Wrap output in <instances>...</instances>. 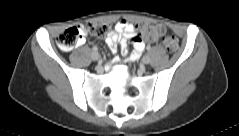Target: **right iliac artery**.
<instances>
[{
  "label": "right iliac artery",
  "mask_w": 239,
  "mask_h": 136,
  "mask_svg": "<svg viewBox=\"0 0 239 136\" xmlns=\"http://www.w3.org/2000/svg\"><path fill=\"white\" fill-rule=\"evenodd\" d=\"M92 49H93V51H95V52L98 51V48H97L96 46H94Z\"/></svg>",
  "instance_id": "82829eb1"
}]
</instances>
